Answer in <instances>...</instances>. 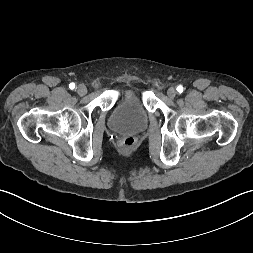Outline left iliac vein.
Segmentation results:
<instances>
[{
  "label": "left iliac vein",
  "mask_w": 253,
  "mask_h": 253,
  "mask_svg": "<svg viewBox=\"0 0 253 253\" xmlns=\"http://www.w3.org/2000/svg\"><path fill=\"white\" fill-rule=\"evenodd\" d=\"M177 92L175 90V88L173 87H170L168 90H167V95L169 98L173 99L175 96H176Z\"/></svg>",
  "instance_id": "left-iliac-vein-1"
}]
</instances>
